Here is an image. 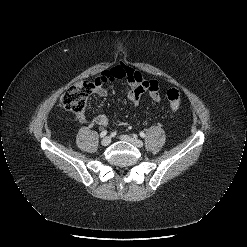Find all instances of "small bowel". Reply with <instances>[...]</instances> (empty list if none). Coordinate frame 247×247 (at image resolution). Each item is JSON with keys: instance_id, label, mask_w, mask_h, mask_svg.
Returning <instances> with one entry per match:
<instances>
[{"instance_id": "1", "label": "small bowel", "mask_w": 247, "mask_h": 247, "mask_svg": "<svg viewBox=\"0 0 247 247\" xmlns=\"http://www.w3.org/2000/svg\"><path fill=\"white\" fill-rule=\"evenodd\" d=\"M115 81H125L127 83V97L136 106L139 104L141 96L145 92H147L155 102L161 100V91L158 82L145 79L137 69L126 65H118L103 71L95 80V92L101 97H106L109 91L105 87V84ZM76 119L80 123L88 124L90 126H105L109 123V117L104 113L97 114L91 119L80 114L76 116Z\"/></svg>"}]
</instances>
